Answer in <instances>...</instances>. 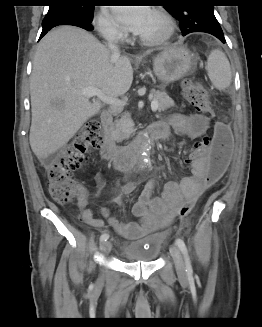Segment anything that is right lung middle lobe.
I'll list each match as a JSON object with an SVG mask.
<instances>
[{
  "mask_svg": "<svg viewBox=\"0 0 262 327\" xmlns=\"http://www.w3.org/2000/svg\"><path fill=\"white\" fill-rule=\"evenodd\" d=\"M63 1H68L70 3L65 5L50 6L48 13L46 14L45 17H49L51 15H56V14H74L84 17L86 19L93 18V13H94L93 5L80 6L71 3V1L73 0H63Z\"/></svg>",
  "mask_w": 262,
  "mask_h": 327,
  "instance_id": "right-lung-middle-lobe-1",
  "label": "right lung middle lobe"
}]
</instances>
